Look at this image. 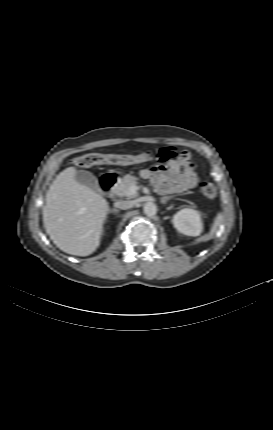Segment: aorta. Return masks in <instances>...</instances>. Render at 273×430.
Returning a JSON list of instances; mask_svg holds the SVG:
<instances>
[{"label": "aorta", "mask_w": 273, "mask_h": 430, "mask_svg": "<svg viewBox=\"0 0 273 430\" xmlns=\"http://www.w3.org/2000/svg\"><path fill=\"white\" fill-rule=\"evenodd\" d=\"M143 209H144V213L148 217H152V216L156 215V213H157V206L153 202L145 203Z\"/></svg>", "instance_id": "762f6f07"}]
</instances>
